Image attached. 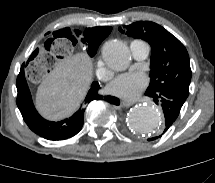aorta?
I'll list each match as a JSON object with an SVG mask.
<instances>
[{"label":"aorta","instance_id":"obj_1","mask_svg":"<svg viewBox=\"0 0 215 183\" xmlns=\"http://www.w3.org/2000/svg\"><path fill=\"white\" fill-rule=\"evenodd\" d=\"M102 57L108 68L123 71L130 64V51L120 40L107 41L102 48ZM130 130L140 134H154L161 128L162 116L150 105H139L131 109L126 119Z\"/></svg>","mask_w":215,"mask_h":183}]
</instances>
